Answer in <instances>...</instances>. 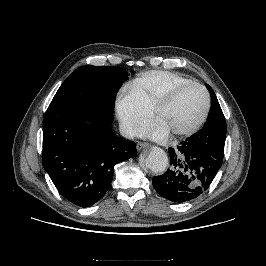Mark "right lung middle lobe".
I'll return each mask as SVG.
<instances>
[{"instance_id": "obj_1", "label": "right lung middle lobe", "mask_w": 266, "mask_h": 266, "mask_svg": "<svg viewBox=\"0 0 266 266\" xmlns=\"http://www.w3.org/2000/svg\"><path fill=\"white\" fill-rule=\"evenodd\" d=\"M127 78V72L117 67L82 66L63 82L52 102L93 105L113 112L116 93Z\"/></svg>"}]
</instances>
